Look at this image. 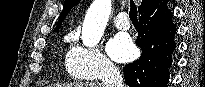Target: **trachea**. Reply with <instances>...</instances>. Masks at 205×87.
<instances>
[{
  "label": "trachea",
  "instance_id": "1",
  "mask_svg": "<svg viewBox=\"0 0 205 87\" xmlns=\"http://www.w3.org/2000/svg\"><path fill=\"white\" fill-rule=\"evenodd\" d=\"M129 18L132 22H138L137 18V8L133 0H130V12Z\"/></svg>",
  "mask_w": 205,
  "mask_h": 87
}]
</instances>
